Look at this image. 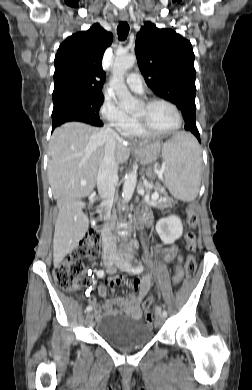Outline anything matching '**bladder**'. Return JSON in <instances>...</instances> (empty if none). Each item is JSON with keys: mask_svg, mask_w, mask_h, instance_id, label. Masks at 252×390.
<instances>
[{"mask_svg": "<svg viewBox=\"0 0 252 390\" xmlns=\"http://www.w3.org/2000/svg\"><path fill=\"white\" fill-rule=\"evenodd\" d=\"M95 333L109 345L123 351L142 348L153 338L149 325L128 318H101L96 323Z\"/></svg>", "mask_w": 252, "mask_h": 390, "instance_id": "1", "label": "bladder"}]
</instances>
